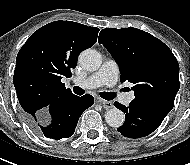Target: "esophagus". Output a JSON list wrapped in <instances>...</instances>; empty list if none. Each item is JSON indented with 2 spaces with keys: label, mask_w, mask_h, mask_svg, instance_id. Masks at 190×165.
<instances>
[{
  "label": "esophagus",
  "mask_w": 190,
  "mask_h": 165,
  "mask_svg": "<svg viewBox=\"0 0 190 165\" xmlns=\"http://www.w3.org/2000/svg\"><path fill=\"white\" fill-rule=\"evenodd\" d=\"M98 102L102 104L105 109H110L113 107V103L111 101L99 99Z\"/></svg>",
  "instance_id": "1"
}]
</instances>
